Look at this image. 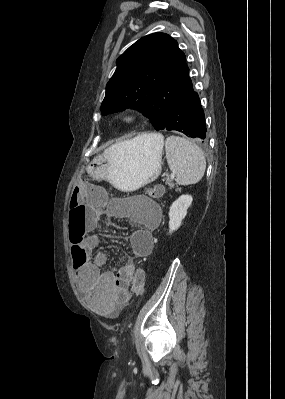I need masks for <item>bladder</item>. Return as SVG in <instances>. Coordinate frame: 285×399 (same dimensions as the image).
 I'll return each instance as SVG.
<instances>
[{
	"mask_svg": "<svg viewBox=\"0 0 285 399\" xmlns=\"http://www.w3.org/2000/svg\"><path fill=\"white\" fill-rule=\"evenodd\" d=\"M131 200H138L140 201L143 205H145L148 209H156L155 202L151 200L150 198L147 197H142V196H133L130 198Z\"/></svg>",
	"mask_w": 285,
	"mask_h": 399,
	"instance_id": "31cf9c89",
	"label": "bladder"
}]
</instances>
